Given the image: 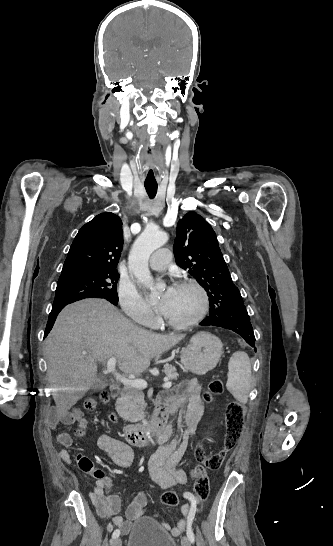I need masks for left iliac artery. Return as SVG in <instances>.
<instances>
[{"mask_svg": "<svg viewBox=\"0 0 333 546\" xmlns=\"http://www.w3.org/2000/svg\"><path fill=\"white\" fill-rule=\"evenodd\" d=\"M192 521H193V516H191L188 519L187 536H188L189 540L193 543L194 540H195V536H194V533H193V530H192Z\"/></svg>", "mask_w": 333, "mask_h": 546, "instance_id": "obj_1", "label": "left iliac artery"}]
</instances>
